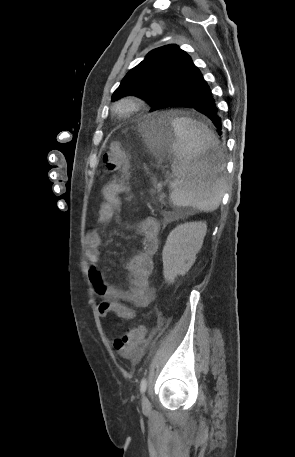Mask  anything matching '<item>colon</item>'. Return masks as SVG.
I'll list each match as a JSON object with an SVG mask.
<instances>
[{
    "instance_id": "5ec220e1",
    "label": "colon",
    "mask_w": 295,
    "mask_h": 457,
    "mask_svg": "<svg viewBox=\"0 0 295 457\" xmlns=\"http://www.w3.org/2000/svg\"><path fill=\"white\" fill-rule=\"evenodd\" d=\"M130 155L121 145L111 142L104 156L103 167L107 172L116 173L121 178L127 179L130 171ZM146 339L145 330L142 326L128 329L124 335L114 341V347L120 353L130 355L135 352Z\"/></svg>"
}]
</instances>
